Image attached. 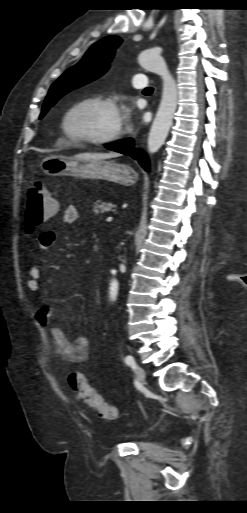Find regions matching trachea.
<instances>
[{
    "label": "trachea",
    "instance_id": "trachea-1",
    "mask_svg": "<svg viewBox=\"0 0 247 513\" xmlns=\"http://www.w3.org/2000/svg\"><path fill=\"white\" fill-rule=\"evenodd\" d=\"M143 92H144V93H152V92H153V88H152V87L145 88V89L143 90ZM244 278H245V280L247 279V277H244Z\"/></svg>",
    "mask_w": 247,
    "mask_h": 513
}]
</instances>
